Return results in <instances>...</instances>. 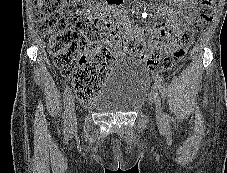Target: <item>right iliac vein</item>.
Returning <instances> with one entry per match:
<instances>
[{
  "label": "right iliac vein",
  "instance_id": "63e3f726",
  "mask_svg": "<svg viewBox=\"0 0 227 173\" xmlns=\"http://www.w3.org/2000/svg\"><path fill=\"white\" fill-rule=\"evenodd\" d=\"M76 123V112L73 97L70 98L69 105V125L73 126Z\"/></svg>",
  "mask_w": 227,
  "mask_h": 173
}]
</instances>
